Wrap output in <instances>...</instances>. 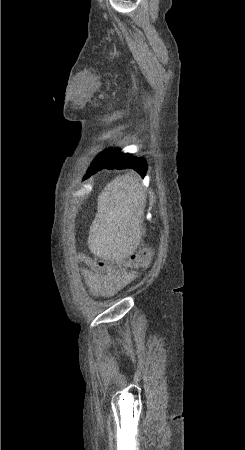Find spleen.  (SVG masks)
<instances>
[{"label":"spleen","mask_w":245,"mask_h":450,"mask_svg":"<svg viewBox=\"0 0 245 450\" xmlns=\"http://www.w3.org/2000/svg\"><path fill=\"white\" fill-rule=\"evenodd\" d=\"M146 196L135 173L113 179L98 196V212L88 238L98 257L117 260L129 256L145 233Z\"/></svg>","instance_id":"obj_1"}]
</instances>
